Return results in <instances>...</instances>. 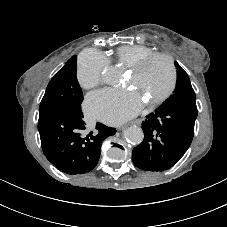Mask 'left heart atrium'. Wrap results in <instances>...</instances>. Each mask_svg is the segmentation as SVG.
I'll use <instances>...</instances> for the list:
<instances>
[{"mask_svg": "<svg viewBox=\"0 0 227 227\" xmlns=\"http://www.w3.org/2000/svg\"><path fill=\"white\" fill-rule=\"evenodd\" d=\"M143 104V99L136 92L104 89L87 96L85 110L93 118L109 124H119L136 115Z\"/></svg>", "mask_w": 227, "mask_h": 227, "instance_id": "39dd6f15", "label": "left heart atrium"}]
</instances>
